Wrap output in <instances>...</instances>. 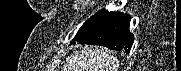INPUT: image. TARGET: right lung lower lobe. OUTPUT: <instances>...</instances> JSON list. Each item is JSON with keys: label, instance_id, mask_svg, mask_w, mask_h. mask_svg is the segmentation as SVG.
<instances>
[{"label": "right lung lower lobe", "instance_id": "obj_1", "mask_svg": "<svg viewBox=\"0 0 181 71\" xmlns=\"http://www.w3.org/2000/svg\"><path fill=\"white\" fill-rule=\"evenodd\" d=\"M130 19L127 14L100 10L83 24L71 44L101 45L129 53L134 41Z\"/></svg>", "mask_w": 181, "mask_h": 71}]
</instances>
